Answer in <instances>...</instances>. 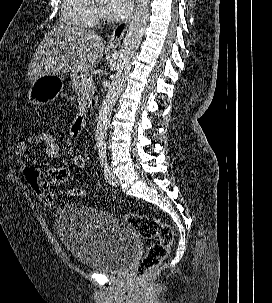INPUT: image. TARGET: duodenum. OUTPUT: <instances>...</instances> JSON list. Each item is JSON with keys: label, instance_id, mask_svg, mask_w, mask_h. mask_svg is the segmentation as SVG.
<instances>
[{"label": "duodenum", "instance_id": "410a0bca", "mask_svg": "<svg viewBox=\"0 0 272 303\" xmlns=\"http://www.w3.org/2000/svg\"><path fill=\"white\" fill-rule=\"evenodd\" d=\"M94 108H95V103L93 102L92 105L90 106L89 110H84L78 114V116L76 117L75 122H74L75 130L79 131L83 127V125L86 121V118L88 116V112L94 110Z\"/></svg>", "mask_w": 272, "mask_h": 303}]
</instances>
